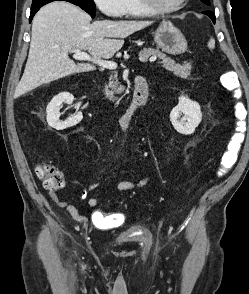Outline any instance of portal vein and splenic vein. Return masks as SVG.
<instances>
[{
  "mask_svg": "<svg viewBox=\"0 0 249 294\" xmlns=\"http://www.w3.org/2000/svg\"><path fill=\"white\" fill-rule=\"evenodd\" d=\"M73 58L77 60L84 61H94L86 52L81 51L80 49L73 50ZM156 56H153L149 59L150 62L156 61ZM140 61H145V57H140ZM99 66L108 68V69H116L117 63L114 61H106V60H97L95 61Z\"/></svg>",
  "mask_w": 249,
  "mask_h": 294,
  "instance_id": "obj_1",
  "label": "portal vein and splenic vein"
}]
</instances>
